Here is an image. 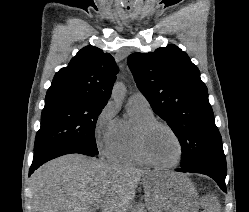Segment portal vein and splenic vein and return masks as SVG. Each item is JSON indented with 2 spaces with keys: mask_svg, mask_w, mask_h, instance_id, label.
Instances as JSON below:
<instances>
[{
  "mask_svg": "<svg viewBox=\"0 0 249 212\" xmlns=\"http://www.w3.org/2000/svg\"><path fill=\"white\" fill-rule=\"evenodd\" d=\"M101 206V202H96V208H99Z\"/></svg>",
  "mask_w": 249,
  "mask_h": 212,
  "instance_id": "1",
  "label": "portal vein and splenic vein"
}]
</instances>
